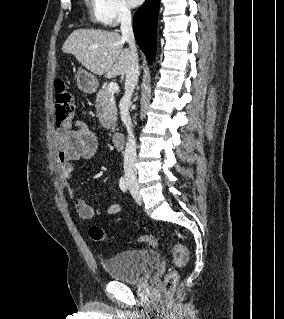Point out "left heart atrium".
<instances>
[{"label":"left heart atrium","mask_w":284,"mask_h":319,"mask_svg":"<svg viewBox=\"0 0 284 319\" xmlns=\"http://www.w3.org/2000/svg\"><path fill=\"white\" fill-rule=\"evenodd\" d=\"M144 0H124V2L129 6V7H136L140 5Z\"/></svg>","instance_id":"obj_1"}]
</instances>
